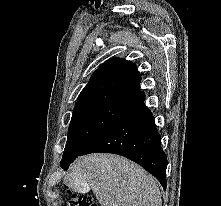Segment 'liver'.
Segmentation results:
<instances>
[{
    "label": "liver",
    "mask_w": 221,
    "mask_h": 206,
    "mask_svg": "<svg viewBox=\"0 0 221 206\" xmlns=\"http://www.w3.org/2000/svg\"><path fill=\"white\" fill-rule=\"evenodd\" d=\"M64 183L78 193L92 189L101 206H162L156 179L118 155L95 153L78 158Z\"/></svg>",
    "instance_id": "1"
}]
</instances>
